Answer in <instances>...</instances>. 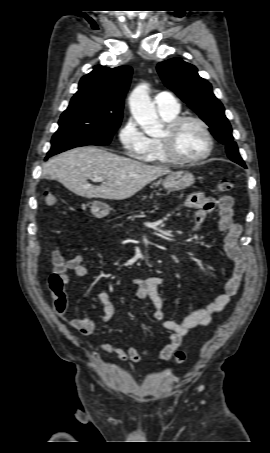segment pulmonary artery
<instances>
[{"label": "pulmonary artery", "mask_w": 270, "mask_h": 453, "mask_svg": "<svg viewBox=\"0 0 270 453\" xmlns=\"http://www.w3.org/2000/svg\"><path fill=\"white\" fill-rule=\"evenodd\" d=\"M154 102L160 114H174L179 112V103L170 92L164 91L156 94Z\"/></svg>", "instance_id": "1"}]
</instances>
